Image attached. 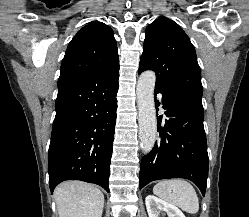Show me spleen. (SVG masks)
Masks as SVG:
<instances>
[{
    "label": "spleen",
    "mask_w": 249,
    "mask_h": 217,
    "mask_svg": "<svg viewBox=\"0 0 249 217\" xmlns=\"http://www.w3.org/2000/svg\"><path fill=\"white\" fill-rule=\"evenodd\" d=\"M153 192L188 213L194 214L199 210L197 193L194 187L185 180L170 179L160 181L154 186Z\"/></svg>",
    "instance_id": "1"
}]
</instances>
